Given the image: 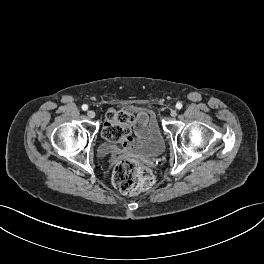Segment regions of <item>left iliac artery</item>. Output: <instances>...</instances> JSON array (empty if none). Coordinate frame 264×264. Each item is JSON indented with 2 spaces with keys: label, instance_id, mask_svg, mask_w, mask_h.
Here are the masks:
<instances>
[{
  "label": "left iliac artery",
  "instance_id": "obj_1",
  "mask_svg": "<svg viewBox=\"0 0 264 264\" xmlns=\"http://www.w3.org/2000/svg\"><path fill=\"white\" fill-rule=\"evenodd\" d=\"M176 108H177L178 110H180V109L182 108V104H181L180 102H178V103L176 104Z\"/></svg>",
  "mask_w": 264,
  "mask_h": 264
}]
</instances>
